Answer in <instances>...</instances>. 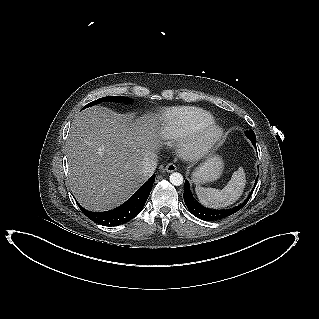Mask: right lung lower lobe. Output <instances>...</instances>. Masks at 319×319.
Segmentation results:
<instances>
[{"label":"right lung lower lobe","mask_w":319,"mask_h":319,"mask_svg":"<svg viewBox=\"0 0 319 319\" xmlns=\"http://www.w3.org/2000/svg\"><path fill=\"white\" fill-rule=\"evenodd\" d=\"M155 181V174L125 203L105 212H91L79 206L81 211L92 221L103 225L116 226L128 222L140 213L151 192Z\"/></svg>","instance_id":"98d812e1"}]
</instances>
